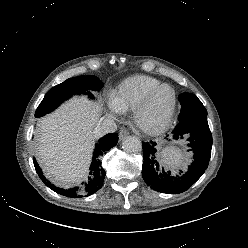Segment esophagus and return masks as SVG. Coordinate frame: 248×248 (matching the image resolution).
<instances>
[{"label": "esophagus", "instance_id": "esophagus-1", "mask_svg": "<svg viewBox=\"0 0 248 248\" xmlns=\"http://www.w3.org/2000/svg\"><path fill=\"white\" fill-rule=\"evenodd\" d=\"M128 135H129V131L126 128L122 127L119 131L120 141L123 140L124 138H126Z\"/></svg>", "mask_w": 248, "mask_h": 248}]
</instances>
